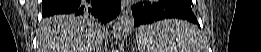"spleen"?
Here are the masks:
<instances>
[{
  "mask_svg": "<svg viewBox=\"0 0 261 52\" xmlns=\"http://www.w3.org/2000/svg\"><path fill=\"white\" fill-rule=\"evenodd\" d=\"M141 52H202L200 34L186 21L164 20L140 29Z\"/></svg>",
  "mask_w": 261,
  "mask_h": 52,
  "instance_id": "1",
  "label": "spleen"
}]
</instances>
